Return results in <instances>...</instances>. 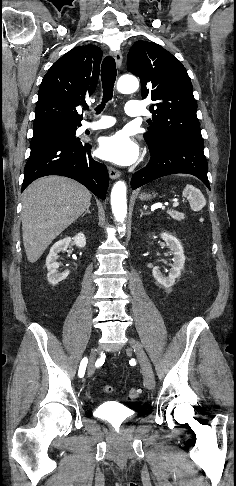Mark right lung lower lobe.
Masks as SVG:
<instances>
[{
  "label": "right lung lower lobe",
  "instance_id": "right-lung-lower-lobe-1",
  "mask_svg": "<svg viewBox=\"0 0 236 486\" xmlns=\"http://www.w3.org/2000/svg\"><path fill=\"white\" fill-rule=\"evenodd\" d=\"M77 127L81 123H75ZM91 145L60 135L32 137L31 153L24 169L23 191L32 181L47 175L77 180L96 196L105 199L109 185L107 168L93 160Z\"/></svg>",
  "mask_w": 236,
  "mask_h": 486
}]
</instances>
